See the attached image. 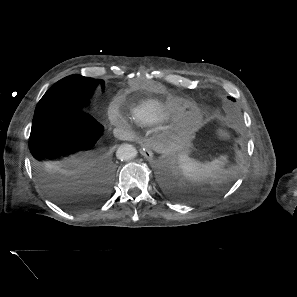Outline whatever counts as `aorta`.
<instances>
[{
	"label": "aorta",
	"mask_w": 297,
	"mask_h": 297,
	"mask_svg": "<svg viewBox=\"0 0 297 297\" xmlns=\"http://www.w3.org/2000/svg\"><path fill=\"white\" fill-rule=\"evenodd\" d=\"M136 155H137V150L131 144L121 145L116 152L117 158L122 161H129V160L135 158Z\"/></svg>",
	"instance_id": "1"
}]
</instances>
